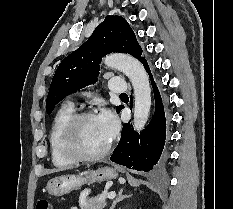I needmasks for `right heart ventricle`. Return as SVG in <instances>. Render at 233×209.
<instances>
[{
	"label": "right heart ventricle",
	"instance_id": "1",
	"mask_svg": "<svg viewBox=\"0 0 233 209\" xmlns=\"http://www.w3.org/2000/svg\"><path fill=\"white\" fill-rule=\"evenodd\" d=\"M74 115V107L71 103L63 105L56 113L49 135V146L52 163L58 168H67L75 162L68 159L62 150V136L69 119Z\"/></svg>",
	"mask_w": 233,
	"mask_h": 209
}]
</instances>
